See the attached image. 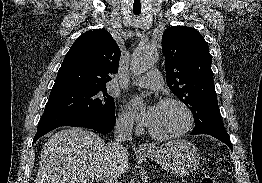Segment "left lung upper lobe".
I'll use <instances>...</instances> for the list:
<instances>
[{
    "label": "left lung upper lobe",
    "mask_w": 262,
    "mask_h": 183,
    "mask_svg": "<svg viewBox=\"0 0 262 183\" xmlns=\"http://www.w3.org/2000/svg\"><path fill=\"white\" fill-rule=\"evenodd\" d=\"M162 51L167 85L193 114L192 132L224 129L214 88L212 57L203 36L190 27H170L163 33Z\"/></svg>",
    "instance_id": "obj_1"
}]
</instances>
